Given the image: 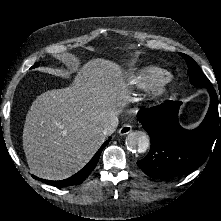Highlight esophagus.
<instances>
[{
  "label": "esophagus",
  "mask_w": 221,
  "mask_h": 221,
  "mask_svg": "<svg viewBox=\"0 0 221 221\" xmlns=\"http://www.w3.org/2000/svg\"><path fill=\"white\" fill-rule=\"evenodd\" d=\"M132 131V126L128 124H124L118 131V133L123 136L127 135Z\"/></svg>",
  "instance_id": "1"
}]
</instances>
